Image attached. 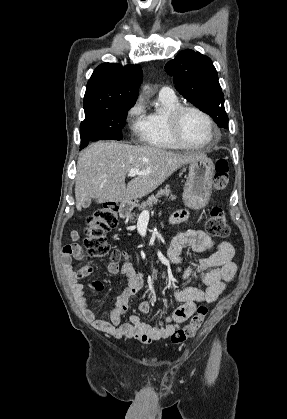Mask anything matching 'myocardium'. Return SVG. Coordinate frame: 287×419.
<instances>
[{
  "label": "myocardium",
  "mask_w": 287,
  "mask_h": 419,
  "mask_svg": "<svg viewBox=\"0 0 287 419\" xmlns=\"http://www.w3.org/2000/svg\"><path fill=\"white\" fill-rule=\"evenodd\" d=\"M187 111H193L198 113L207 122L211 132V136L206 142L202 144H192L183 138L180 132V119L182 115ZM167 124L173 138L176 140L178 144L185 148L203 149L208 146H211L219 139L218 129L213 119L204 110L193 105H179L176 108L170 110L167 114Z\"/></svg>",
  "instance_id": "1"
}]
</instances>
